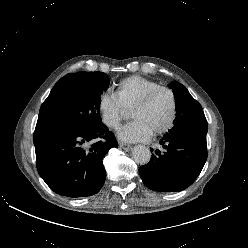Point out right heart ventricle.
<instances>
[{
  "label": "right heart ventricle",
  "instance_id": "e07e8e85",
  "mask_svg": "<svg viewBox=\"0 0 248 248\" xmlns=\"http://www.w3.org/2000/svg\"><path fill=\"white\" fill-rule=\"evenodd\" d=\"M158 86L160 84L154 80L135 75L121 80L114 94L124 109H131L148 91Z\"/></svg>",
  "mask_w": 248,
  "mask_h": 248
}]
</instances>
